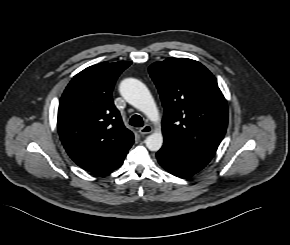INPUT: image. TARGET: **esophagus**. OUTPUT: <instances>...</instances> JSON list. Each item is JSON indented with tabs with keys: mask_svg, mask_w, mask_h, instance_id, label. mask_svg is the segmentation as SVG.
Returning a JSON list of instances; mask_svg holds the SVG:
<instances>
[{
	"mask_svg": "<svg viewBox=\"0 0 290 245\" xmlns=\"http://www.w3.org/2000/svg\"><path fill=\"white\" fill-rule=\"evenodd\" d=\"M152 131H153V127L151 125H149V124H147V125H145V126H143V127H141L139 129V133L142 134V135L149 134Z\"/></svg>",
	"mask_w": 290,
	"mask_h": 245,
	"instance_id": "obj_1",
	"label": "esophagus"
}]
</instances>
